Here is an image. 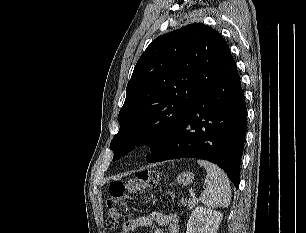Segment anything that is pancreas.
I'll return each mask as SVG.
<instances>
[{"mask_svg": "<svg viewBox=\"0 0 306 233\" xmlns=\"http://www.w3.org/2000/svg\"><path fill=\"white\" fill-rule=\"evenodd\" d=\"M198 202H199V200L197 199V198H190V199H188V200H184V199H182L181 200V203L183 204V205H187V208L189 209V210H192L193 209V207L196 205V204H198Z\"/></svg>", "mask_w": 306, "mask_h": 233, "instance_id": "1", "label": "pancreas"}]
</instances>
